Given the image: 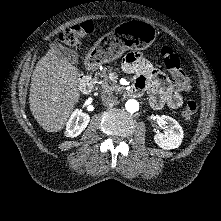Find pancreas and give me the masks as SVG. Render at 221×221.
I'll use <instances>...</instances> for the list:
<instances>
[{
	"mask_svg": "<svg viewBox=\"0 0 221 221\" xmlns=\"http://www.w3.org/2000/svg\"><path fill=\"white\" fill-rule=\"evenodd\" d=\"M111 68H106L104 67L101 71V73L99 74L101 78H103V80L97 81V78H94V81H96V83L98 85H100V88L102 90V93H118L119 91L122 90V87L116 85V82H110L108 79V74L111 72Z\"/></svg>",
	"mask_w": 221,
	"mask_h": 221,
	"instance_id": "cf45deb5",
	"label": "pancreas"
}]
</instances>
